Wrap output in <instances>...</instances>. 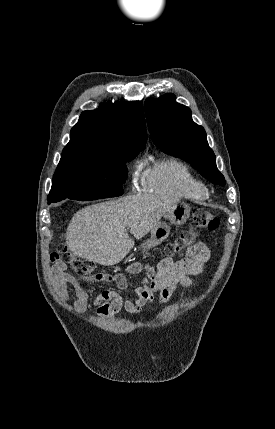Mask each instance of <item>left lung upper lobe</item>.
Wrapping results in <instances>:
<instances>
[{
	"mask_svg": "<svg viewBox=\"0 0 275 429\" xmlns=\"http://www.w3.org/2000/svg\"><path fill=\"white\" fill-rule=\"evenodd\" d=\"M145 113L152 141L157 147L189 162L212 183L225 185L204 128L193 122L191 110L178 104L174 94H165L156 100L147 99Z\"/></svg>",
	"mask_w": 275,
	"mask_h": 429,
	"instance_id": "obj_1",
	"label": "left lung upper lobe"
}]
</instances>
